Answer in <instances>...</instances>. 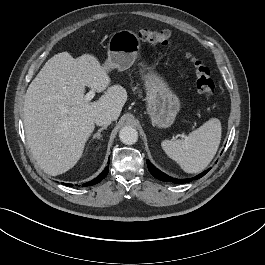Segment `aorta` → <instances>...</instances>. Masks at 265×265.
I'll use <instances>...</instances> for the list:
<instances>
[{
	"mask_svg": "<svg viewBox=\"0 0 265 265\" xmlns=\"http://www.w3.org/2000/svg\"><path fill=\"white\" fill-rule=\"evenodd\" d=\"M119 137L124 144H134L138 140V132L132 126H125L120 130Z\"/></svg>",
	"mask_w": 265,
	"mask_h": 265,
	"instance_id": "obj_1",
	"label": "aorta"
}]
</instances>
